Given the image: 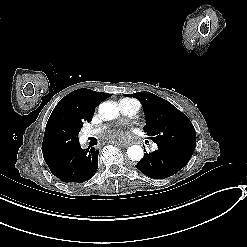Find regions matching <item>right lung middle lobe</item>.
<instances>
[{
  "label": "right lung middle lobe",
  "instance_id": "right-lung-middle-lobe-1",
  "mask_svg": "<svg viewBox=\"0 0 247 247\" xmlns=\"http://www.w3.org/2000/svg\"><path fill=\"white\" fill-rule=\"evenodd\" d=\"M78 134L79 132H76L56 138L43 153L58 152L78 143Z\"/></svg>",
  "mask_w": 247,
  "mask_h": 247
}]
</instances>
